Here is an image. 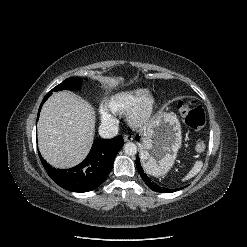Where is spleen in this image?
<instances>
[{
    "label": "spleen",
    "instance_id": "1",
    "mask_svg": "<svg viewBox=\"0 0 247 247\" xmlns=\"http://www.w3.org/2000/svg\"><path fill=\"white\" fill-rule=\"evenodd\" d=\"M202 165L203 164L201 161L195 162L193 168L189 171V173L187 174V176L184 179L188 180V179L194 177L201 170Z\"/></svg>",
    "mask_w": 247,
    "mask_h": 247
}]
</instances>
